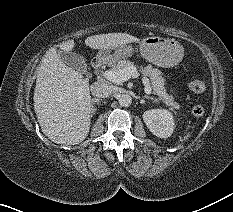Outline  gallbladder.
<instances>
[{
	"label": "gallbladder",
	"mask_w": 233,
	"mask_h": 212,
	"mask_svg": "<svg viewBox=\"0 0 233 212\" xmlns=\"http://www.w3.org/2000/svg\"><path fill=\"white\" fill-rule=\"evenodd\" d=\"M58 55L64 63L78 71L84 72L87 68L84 58L75 52L58 51Z\"/></svg>",
	"instance_id": "1"
}]
</instances>
